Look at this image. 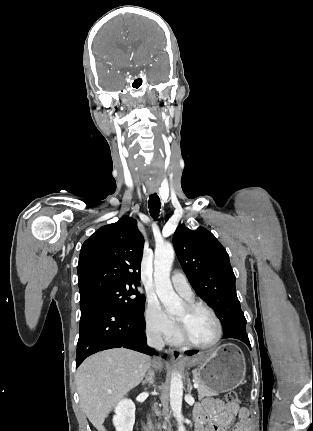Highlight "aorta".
<instances>
[{"label": "aorta", "instance_id": "obj_1", "mask_svg": "<svg viewBox=\"0 0 313 431\" xmlns=\"http://www.w3.org/2000/svg\"><path fill=\"white\" fill-rule=\"evenodd\" d=\"M174 260V249L170 244L155 250L154 282L156 293L165 309L172 313L177 311L182 300L173 290L170 281V271ZM183 383L180 375L174 372L170 381V406L178 422V431H186L182 415Z\"/></svg>", "mask_w": 313, "mask_h": 431}]
</instances>
